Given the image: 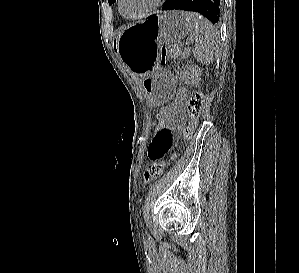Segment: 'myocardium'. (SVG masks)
I'll list each match as a JSON object with an SVG mask.
<instances>
[{"mask_svg": "<svg viewBox=\"0 0 299 273\" xmlns=\"http://www.w3.org/2000/svg\"><path fill=\"white\" fill-rule=\"evenodd\" d=\"M165 0H155L154 3L143 13L136 15V16H127L124 14L123 10H122V3L123 0H118V9L120 14L125 17L126 19L129 20H138V19H142L145 17L150 16L151 14H153L156 10H158L162 4L164 3Z\"/></svg>", "mask_w": 299, "mask_h": 273, "instance_id": "f54148a6", "label": "myocardium"}]
</instances>
